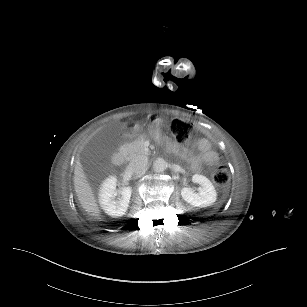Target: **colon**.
Returning <instances> with one entry per match:
<instances>
[{
	"label": "colon",
	"mask_w": 307,
	"mask_h": 307,
	"mask_svg": "<svg viewBox=\"0 0 307 307\" xmlns=\"http://www.w3.org/2000/svg\"><path fill=\"white\" fill-rule=\"evenodd\" d=\"M170 131L179 144H187L193 135L192 125L180 118H172L170 121ZM212 178L219 186L227 184L229 175L222 158H219L212 168Z\"/></svg>",
	"instance_id": "5ec220e1"
}]
</instances>
